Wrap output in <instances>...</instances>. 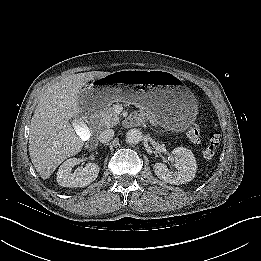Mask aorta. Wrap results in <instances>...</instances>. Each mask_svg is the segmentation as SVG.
<instances>
[{
    "mask_svg": "<svg viewBox=\"0 0 261 261\" xmlns=\"http://www.w3.org/2000/svg\"><path fill=\"white\" fill-rule=\"evenodd\" d=\"M141 140L142 132L137 128L130 129L126 133V142L128 144H138Z\"/></svg>",
    "mask_w": 261,
    "mask_h": 261,
    "instance_id": "obj_1",
    "label": "aorta"
}]
</instances>
